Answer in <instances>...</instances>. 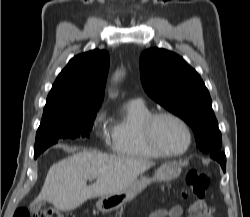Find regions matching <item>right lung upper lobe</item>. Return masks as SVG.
<instances>
[{
  "instance_id": "cb5924a9",
  "label": "right lung upper lobe",
  "mask_w": 250,
  "mask_h": 217,
  "mask_svg": "<svg viewBox=\"0 0 250 217\" xmlns=\"http://www.w3.org/2000/svg\"><path fill=\"white\" fill-rule=\"evenodd\" d=\"M108 69L109 54L105 50L95 49L72 58L49 92L43 117L100 108Z\"/></svg>"
}]
</instances>
